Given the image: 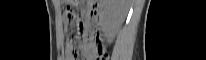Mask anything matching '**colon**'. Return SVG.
<instances>
[{
  "label": "colon",
  "instance_id": "obj_1",
  "mask_svg": "<svg viewBox=\"0 0 206 60\" xmlns=\"http://www.w3.org/2000/svg\"><path fill=\"white\" fill-rule=\"evenodd\" d=\"M64 22L68 39V49L72 54H75L74 43L79 38L81 25L76 12L71 7L64 9ZM95 52L97 60L108 59V53L105 47L98 40L95 43Z\"/></svg>",
  "mask_w": 206,
  "mask_h": 60
}]
</instances>
